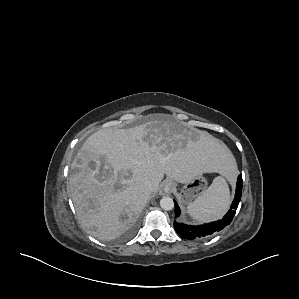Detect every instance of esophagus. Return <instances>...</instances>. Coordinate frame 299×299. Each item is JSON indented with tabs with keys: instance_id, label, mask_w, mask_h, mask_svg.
<instances>
[{
	"instance_id": "esophagus-1",
	"label": "esophagus",
	"mask_w": 299,
	"mask_h": 299,
	"mask_svg": "<svg viewBox=\"0 0 299 299\" xmlns=\"http://www.w3.org/2000/svg\"><path fill=\"white\" fill-rule=\"evenodd\" d=\"M172 187H173L172 182H171V181H166V182L164 183V185H163V191H164L165 193H169V192H171Z\"/></svg>"
}]
</instances>
